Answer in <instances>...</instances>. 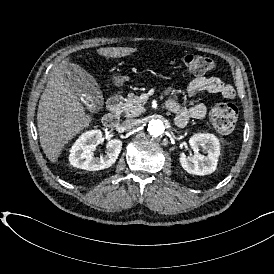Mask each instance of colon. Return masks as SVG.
I'll use <instances>...</instances> for the list:
<instances>
[{"label": "colon", "mask_w": 274, "mask_h": 274, "mask_svg": "<svg viewBox=\"0 0 274 274\" xmlns=\"http://www.w3.org/2000/svg\"><path fill=\"white\" fill-rule=\"evenodd\" d=\"M182 64L190 73L206 74L214 70L213 60L202 54H186L182 58ZM213 127L221 133L231 132L237 122V109L231 103H220L215 106L210 114Z\"/></svg>", "instance_id": "obj_1"}]
</instances>
